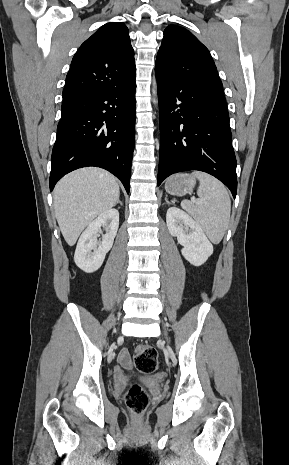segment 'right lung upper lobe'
Instances as JSON below:
<instances>
[{
  "instance_id": "right-lung-upper-lobe-1",
  "label": "right lung upper lobe",
  "mask_w": 289,
  "mask_h": 465,
  "mask_svg": "<svg viewBox=\"0 0 289 465\" xmlns=\"http://www.w3.org/2000/svg\"><path fill=\"white\" fill-rule=\"evenodd\" d=\"M128 28L120 22L100 27L74 55L63 90V105L121 87L135 76Z\"/></svg>"
}]
</instances>
